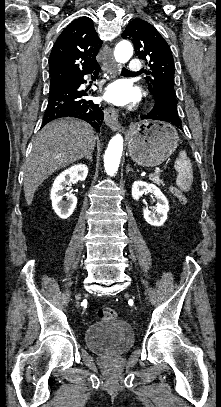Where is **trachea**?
<instances>
[{
    "label": "trachea",
    "mask_w": 221,
    "mask_h": 407,
    "mask_svg": "<svg viewBox=\"0 0 221 407\" xmlns=\"http://www.w3.org/2000/svg\"><path fill=\"white\" fill-rule=\"evenodd\" d=\"M122 72L125 73V72H130V71L127 70L126 68H123V69H122Z\"/></svg>",
    "instance_id": "1"
}]
</instances>
